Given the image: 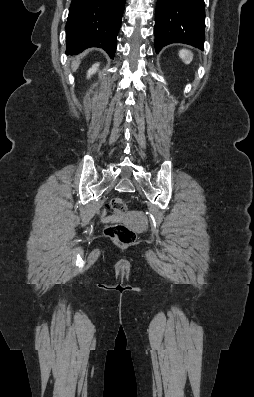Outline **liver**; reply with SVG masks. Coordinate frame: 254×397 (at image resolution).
I'll use <instances>...</instances> for the list:
<instances>
[{"mask_svg": "<svg viewBox=\"0 0 254 397\" xmlns=\"http://www.w3.org/2000/svg\"><path fill=\"white\" fill-rule=\"evenodd\" d=\"M79 65H80V60L79 58H77L72 62V70L75 71L79 67Z\"/></svg>", "mask_w": 254, "mask_h": 397, "instance_id": "liver-1", "label": "liver"}]
</instances>
